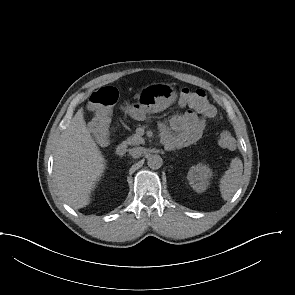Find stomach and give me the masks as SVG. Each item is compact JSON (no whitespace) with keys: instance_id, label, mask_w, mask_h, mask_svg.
Returning a JSON list of instances; mask_svg holds the SVG:
<instances>
[{"instance_id":"1","label":"stomach","mask_w":295,"mask_h":295,"mask_svg":"<svg viewBox=\"0 0 295 295\" xmlns=\"http://www.w3.org/2000/svg\"><path fill=\"white\" fill-rule=\"evenodd\" d=\"M175 100L174 88L168 84H152L140 96L141 106L148 113H157L169 107Z\"/></svg>"}]
</instances>
